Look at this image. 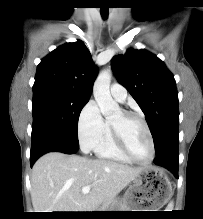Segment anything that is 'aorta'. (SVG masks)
<instances>
[{
	"instance_id": "obj_1",
	"label": "aorta",
	"mask_w": 203,
	"mask_h": 219,
	"mask_svg": "<svg viewBox=\"0 0 203 219\" xmlns=\"http://www.w3.org/2000/svg\"><path fill=\"white\" fill-rule=\"evenodd\" d=\"M111 73L103 70L99 73L93 87L94 98L105 117H109L120 111L119 105L110 94Z\"/></svg>"
}]
</instances>
